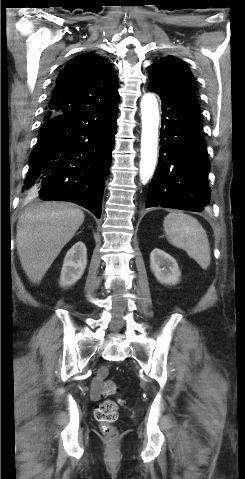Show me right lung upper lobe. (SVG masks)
<instances>
[{"instance_id": "cb5924a9", "label": "right lung upper lobe", "mask_w": 245, "mask_h": 479, "mask_svg": "<svg viewBox=\"0 0 245 479\" xmlns=\"http://www.w3.org/2000/svg\"><path fill=\"white\" fill-rule=\"evenodd\" d=\"M118 102V80L112 64L94 52L86 53L72 59L60 71L44 120L93 107L112 108Z\"/></svg>"}]
</instances>
